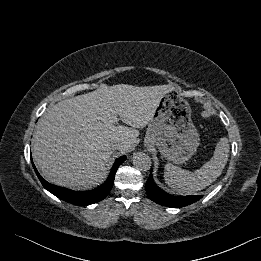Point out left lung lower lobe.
<instances>
[{"label": "left lung lower lobe", "mask_w": 261, "mask_h": 261, "mask_svg": "<svg viewBox=\"0 0 261 261\" xmlns=\"http://www.w3.org/2000/svg\"><path fill=\"white\" fill-rule=\"evenodd\" d=\"M146 193L148 197L162 206L181 208L191 203H194L202 198V195L198 196H174L164 192L160 189L152 178L150 173L149 178L146 182Z\"/></svg>", "instance_id": "1"}]
</instances>
